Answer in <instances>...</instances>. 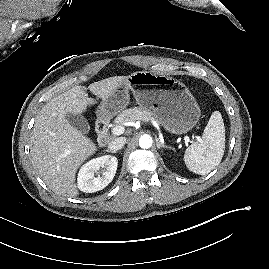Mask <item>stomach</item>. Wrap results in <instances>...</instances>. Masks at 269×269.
Returning a JSON list of instances; mask_svg holds the SVG:
<instances>
[{
  "instance_id": "0dacf381",
  "label": "stomach",
  "mask_w": 269,
  "mask_h": 269,
  "mask_svg": "<svg viewBox=\"0 0 269 269\" xmlns=\"http://www.w3.org/2000/svg\"><path fill=\"white\" fill-rule=\"evenodd\" d=\"M129 90L136 103L150 111L171 134H185L199 121L201 111L188 88L175 78L152 71L129 75L120 89L102 100L98 117L109 119L125 109L129 103Z\"/></svg>"
}]
</instances>
